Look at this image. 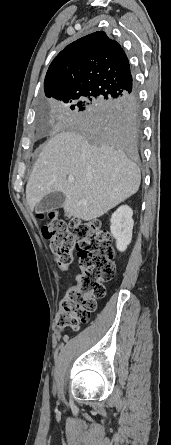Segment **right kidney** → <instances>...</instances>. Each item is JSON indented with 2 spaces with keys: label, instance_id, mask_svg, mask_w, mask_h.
Masks as SVG:
<instances>
[{
  "label": "right kidney",
  "instance_id": "ca27d5eb",
  "mask_svg": "<svg viewBox=\"0 0 171 445\" xmlns=\"http://www.w3.org/2000/svg\"><path fill=\"white\" fill-rule=\"evenodd\" d=\"M132 215V209L127 205H122L111 216L110 231L116 239V247L120 252H124L132 240L134 225Z\"/></svg>",
  "mask_w": 171,
  "mask_h": 445
}]
</instances>
